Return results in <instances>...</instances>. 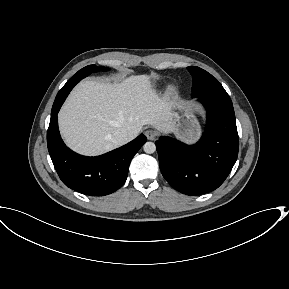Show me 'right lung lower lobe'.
<instances>
[{"instance_id": "98d812e1", "label": "right lung lower lobe", "mask_w": 289, "mask_h": 289, "mask_svg": "<svg viewBox=\"0 0 289 289\" xmlns=\"http://www.w3.org/2000/svg\"><path fill=\"white\" fill-rule=\"evenodd\" d=\"M82 77H72L58 92L47 132V146L54 167L69 188L89 196H104L118 190L126 181L131 159L146 142L141 134L128 144L97 157L71 151L62 141L57 114L72 88Z\"/></svg>"}]
</instances>
